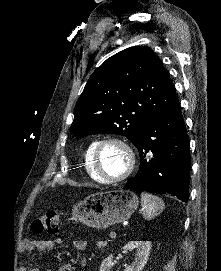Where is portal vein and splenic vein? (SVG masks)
Segmentation results:
<instances>
[{
  "label": "portal vein and splenic vein",
  "mask_w": 221,
  "mask_h": 271,
  "mask_svg": "<svg viewBox=\"0 0 221 271\" xmlns=\"http://www.w3.org/2000/svg\"><path fill=\"white\" fill-rule=\"evenodd\" d=\"M110 240H115V238H116V233H115V231H111V233H110Z\"/></svg>",
  "instance_id": "obj_1"
}]
</instances>
